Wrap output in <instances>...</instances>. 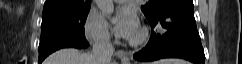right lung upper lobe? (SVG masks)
<instances>
[{
    "label": "right lung upper lobe",
    "mask_w": 242,
    "mask_h": 64,
    "mask_svg": "<svg viewBox=\"0 0 242 64\" xmlns=\"http://www.w3.org/2000/svg\"><path fill=\"white\" fill-rule=\"evenodd\" d=\"M91 7V0H46L43 14L52 12H69L87 10Z\"/></svg>",
    "instance_id": "right-lung-upper-lobe-1"
}]
</instances>
